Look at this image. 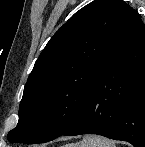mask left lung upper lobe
<instances>
[{
	"label": "left lung upper lobe",
	"instance_id": "1",
	"mask_svg": "<svg viewBox=\"0 0 145 147\" xmlns=\"http://www.w3.org/2000/svg\"><path fill=\"white\" fill-rule=\"evenodd\" d=\"M129 9L122 0H95L59 28L29 75L11 143L48 142L75 123Z\"/></svg>",
	"mask_w": 145,
	"mask_h": 147
}]
</instances>
